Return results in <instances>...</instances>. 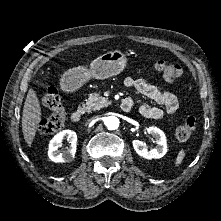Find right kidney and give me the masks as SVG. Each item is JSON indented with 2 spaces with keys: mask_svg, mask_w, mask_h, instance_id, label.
Returning a JSON list of instances; mask_svg holds the SVG:
<instances>
[{
  "mask_svg": "<svg viewBox=\"0 0 221 221\" xmlns=\"http://www.w3.org/2000/svg\"><path fill=\"white\" fill-rule=\"evenodd\" d=\"M67 139L70 146L67 150L60 151L61 142ZM77 135L74 131L63 130L57 133L50 141L48 147V157L56 163L70 162L73 160L76 153Z\"/></svg>",
  "mask_w": 221,
  "mask_h": 221,
  "instance_id": "right-kidney-1",
  "label": "right kidney"
}]
</instances>
